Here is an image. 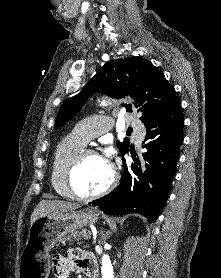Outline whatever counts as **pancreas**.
I'll list each match as a JSON object with an SVG mask.
<instances>
[{"label":"pancreas","instance_id":"obj_1","mask_svg":"<svg viewBox=\"0 0 221 278\" xmlns=\"http://www.w3.org/2000/svg\"><path fill=\"white\" fill-rule=\"evenodd\" d=\"M90 238V232L83 230L81 232H74L67 237L63 238L61 240L62 244L65 245L66 242L70 243L71 245L74 244L75 241H77L78 244H81V240H88Z\"/></svg>","mask_w":221,"mask_h":278}]
</instances>
